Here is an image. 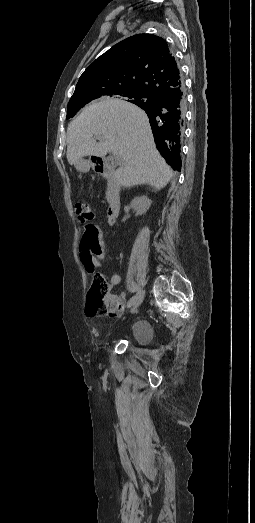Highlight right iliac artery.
<instances>
[{
    "label": "right iliac artery",
    "instance_id": "right-iliac-artery-1",
    "mask_svg": "<svg viewBox=\"0 0 255 523\" xmlns=\"http://www.w3.org/2000/svg\"><path fill=\"white\" fill-rule=\"evenodd\" d=\"M136 296H133L132 298H130V300L128 301L127 303V306L130 307L132 305V303L134 302V299H135Z\"/></svg>",
    "mask_w": 255,
    "mask_h": 523
}]
</instances>
